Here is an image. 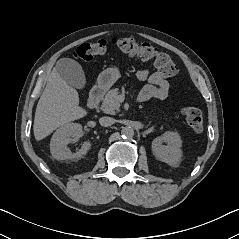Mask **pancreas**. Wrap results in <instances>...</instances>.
Instances as JSON below:
<instances>
[{"label":"pancreas","instance_id":"1","mask_svg":"<svg viewBox=\"0 0 239 239\" xmlns=\"http://www.w3.org/2000/svg\"><path fill=\"white\" fill-rule=\"evenodd\" d=\"M119 89H111L103 99L101 110L104 113L114 115L120 111V103L117 100Z\"/></svg>","mask_w":239,"mask_h":239}]
</instances>
